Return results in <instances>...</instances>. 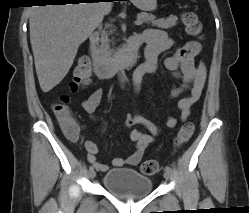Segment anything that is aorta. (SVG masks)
<instances>
[{"label":"aorta","instance_id":"obj_1","mask_svg":"<svg viewBox=\"0 0 249 213\" xmlns=\"http://www.w3.org/2000/svg\"><path fill=\"white\" fill-rule=\"evenodd\" d=\"M119 77H120L121 82L124 83L126 80V75H125L123 66L120 67Z\"/></svg>","mask_w":249,"mask_h":213}]
</instances>
